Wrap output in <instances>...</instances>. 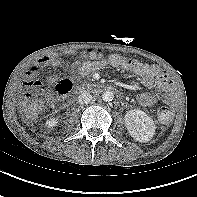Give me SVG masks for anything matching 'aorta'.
<instances>
[{
	"mask_svg": "<svg viewBox=\"0 0 197 197\" xmlns=\"http://www.w3.org/2000/svg\"><path fill=\"white\" fill-rule=\"evenodd\" d=\"M114 98V93L112 91H106L102 95V99L106 102L112 101Z\"/></svg>",
	"mask_w": 197,
	"mask_h": 197,
	"instance_id": "762f6f07",
	"label": "aorta"
}]
</instances>
